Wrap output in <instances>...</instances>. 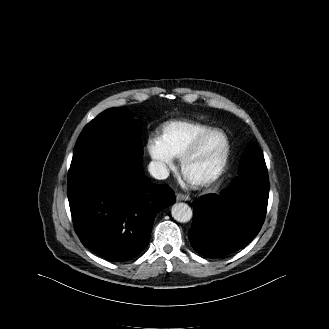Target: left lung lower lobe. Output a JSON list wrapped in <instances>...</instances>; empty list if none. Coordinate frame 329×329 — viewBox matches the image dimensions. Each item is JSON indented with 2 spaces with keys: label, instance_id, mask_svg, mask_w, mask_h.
Returning a JSON list of instances; mask_svg holds the SVG:
<instances>
[{
  "label": "left lung lower lobe",
  "instance_id": "0a47b994",
  "mask_svg": "<svg viewBox=\"0 0 329 329\" xmlns=\"http://www.w3.org/2000/svg\"><path fill=\"white\" fill-rule=\"evenodd\" d=\"M267 168H241L240 175L222 194L194 202L188 232L193 249L207 257H222L244 248L259 233L267 210Z\"/></svg>",
  "mask_w": 329,
  "mask_h": 329
}]
</instances>
